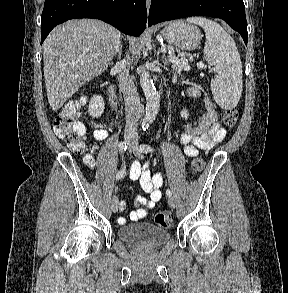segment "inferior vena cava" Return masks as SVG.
Returning a JSON list of instances; mask_svg holds the SVG:
<instances>
[{"mask_svg":"<svg viewBox=\"0 0 288 293\" xmlns=\"http://www.w3.org/2000/svg\"><path fill=\"white\" fill-rule=\"evenodd\" d=\"M119 51V47L116 52ZM127 61L125 59L117 62L114 68L118 71V82L125 100L126 125L125 136L137 141V127L141 114L140 99L133 82L127 70Z\"/></svg>","mask_w":288,"mask_h":293,"instance_id":"inferior-vena-cava-1","label":"inferior vena cava"}]
</instances>
